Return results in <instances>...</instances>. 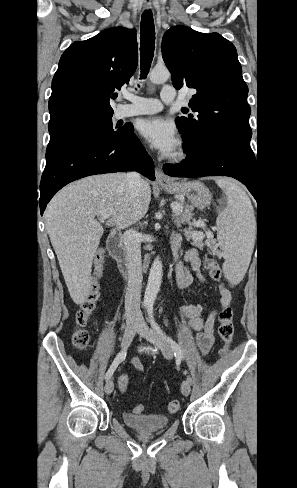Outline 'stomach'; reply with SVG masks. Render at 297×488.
Returning a JSON list of instances; mask_svg holds the SVG:
<instances>
[{
	"instance_id": "stomach-1",
	"label": "stomach",
	"mask_w": 297,
	"mask_h": 488,
	"mask_svg": "<svg viewBox=\"0 0 297 488\" xmlns=\"http://www.w3.org/2000/svg\"><path fill=\"white\" fill-rule=\"evenodd\" d=\"M162 188L178 199L185 198L198 209L206 208L211 204L212 194L206 185L200 181H181L162 184Z\"/></svg>"
}]
</instances>
